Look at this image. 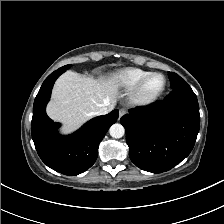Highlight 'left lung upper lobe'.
I'll return each instance as SVG.
<instances>
[{
  "label": "left lung upper lobe",
  "instance_id": "1",
  "mask_svg": "<svg viewBox=\"0 0 224 224\" xmlns=\"http://www.w3.org/2000/svg\"><path fill=\"white\" fill-rule=\"evenodd\" d=\"M168 76L170 79L171 88L174 89L178 86L185 84V80H183L179 75L173 72H168Z\"/></svg>",
  "mask_w": 224,
  "mask_h": 224
}]
</instances>
